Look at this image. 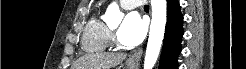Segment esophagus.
Returning <instances> with one entry per match:
<instances>
[{
	"instance_id": "34e87169",
	"label": "esophagus",
	"mask_w": 246,
	"mask_h": 69,
	"mask_svg": "<svg viewBox=\"0 0 246 69\" xmlns=\"http://www.w3.org/2000/svg\"><path fill=\"white\" fill-rule=\"evenodd\" d=\"M141 55H142V49H138L132 54L131 59L138 61L141 58Z\"/></svg>"
}]
</instances>
